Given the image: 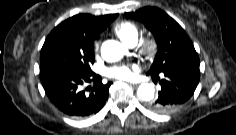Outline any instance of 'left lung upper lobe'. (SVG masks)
Instances as JSON below:
<instances>
[{
	"instance_id": "left-lung-upper-lobe-1",
	"label": "left lung upper lobe",
	"mask_w": 236,
	"mask_h": 135,
	"mask_svg": "<svg viewBox=\"0 0 236 135\" xmlns=\"http://www.w3.org/2000/svg\"><path fill=\"white\" fill-rule=\"evenodd\" d=\"M125 15L144 23L155 37L158 51L148 73L159 74L173 67L185 66L193 58H199L186 32L164 11L156 7H144Z\"/></svg>"
}]
</instances>
